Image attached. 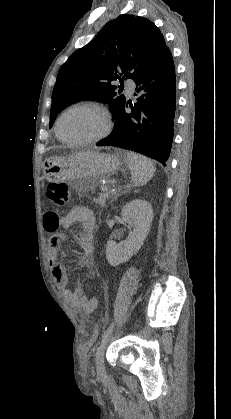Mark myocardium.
Returning a JSON list of instances; mask_svg holds the SVG:
<instances>
[{
    "label": "myocardium",
    "mask_w": 231,
    "mask_h": 419,
    "mask_svg": "<svg viewBox=\"0 0 231 419\" xmlns=\"http://www.w3.org/2000/svg\"><path fill=\"white\" fill-rule=\"evenodd\" d=\"M77 109H87V110H91L94 112H97L98 114L101 115L102 119H103V129L102 131L90 138H86V139H78V140H73V139H68L66 137H64L60 131V123L63 119V117L73 111V110H77ZM111 128V120H110V116L109 113L107 112V110L99 105L96 104H89V103H84V104H77V105H73L69 108H67L66 110H64L61 115L58 117L56 125H55V130H56V134L59 137L60 140H62L63 142L70 144V145H87V144H93L96 142H99L100 140H102L103 138H105Z\"/></svg>",
    "instance_id": "myocardium-1"
}]
</instances>
